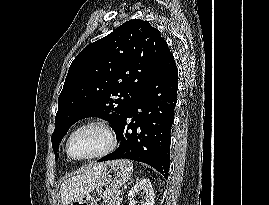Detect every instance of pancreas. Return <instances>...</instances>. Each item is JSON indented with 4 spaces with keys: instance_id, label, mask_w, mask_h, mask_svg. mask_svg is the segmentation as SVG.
Segmentation results:
<instances>
[{
    "instance_id": "1",
    "label": "pancreas",
    "mask_w": 269,
    "mask_h": 205,
    "mask_svg": "<svg viewBox=\"0 0 269 205\" xmlns=\"http://www.w3.org/2000/svg\"><path fill=\"white\" fill-rule=\"evenodd\" d=\"M120 201H121L120 197L116 196L109 203H107V205H119Z\"/></svg>"
}]
</instances>
